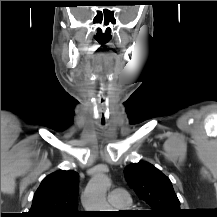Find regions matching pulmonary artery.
I'll use <instances>...</instances> for the list:
<instances>
[{
    "mask_svg": "<svg viewBox=\"0 0 217 217\" xmlns=\"http://www.w3.org/2000/svg\"><path fill=\"white\" fill-rule=\"evenodd\" d=\"M108 202L116 209H126L131 204L127 190L116 188L108 194Z\"/></svg>",
    "mask_w": 217,
    "mask_h": 217,
    "instance_id": "e3ab8cb5",
    "label": "pulmonary artery"
}]
</instances>
